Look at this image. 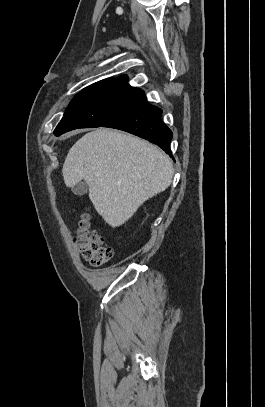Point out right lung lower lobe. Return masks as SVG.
Returning a JSON list of instances; mask_svg holds the SVG:
<instances>
[{
  "mask_svg": "<svg viewBox=\"0 0 265 407\" xmlns=\"http://www.w3.org/2000/svg\"><path fill=\"white\" fill-rule=\"evenodd\" d=\"M162 110L147 102L104 125L144 138L162 148L172 157L170 141L172 131L162 122Z\"/></svg>",
  "mask_w": 265,
  "mask_h": 407,
  "instance_id": "right-lung-lower-lobe-1",
  "label": "right lung lower lobe"
}]
</instances>
